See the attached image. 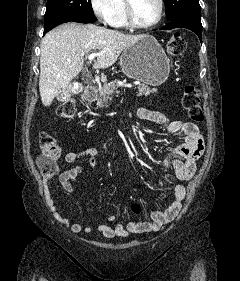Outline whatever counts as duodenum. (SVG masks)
Returning a JSON list of instances; mask_svg holds the SVG:
<instances>
[{
	"label": "duodenum",
	"instance_id": "1",
	"mask_svg": "<svg viewBox=\"0 0 240 281\" xmlns=\"http://www.w3.org/2000/svg\"><path fill=\"white\" fill-rule=\"evenodd\" d=\"M96 94L97 90L94 87H90L84 92L83 98L85 101H92L95 99Z\"/></svg>",
	"mask_w": 240,
	"mask_h": 281
}]
</instances>
